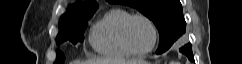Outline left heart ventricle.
I'll return each instance as SVG.
<instances>
[{"instance_id":"obj_1","label":"left heart ventricle","mask_w":242,"mask_h":64,"mask_svg":"<svg viewBox=\"0 0 242 64\" xmlns=\"http://www.w3.org/2000/svg\"><path fill=\"white\" fill-rule=\"evenodd\" d=\"M128 38L132 47L138 51L148 49L153 42L152 30L143 19H135L131 22Z\"/></svg>"}]
</instances>
